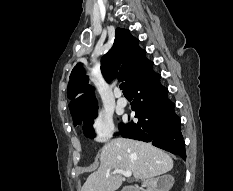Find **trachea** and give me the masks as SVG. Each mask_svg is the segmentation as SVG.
<instances>
[{
  "label": "trachea",
  "instance_id": "obj_1",
  "mask_svg": "<svg viewBox=\"0 0 233 191\" xmlns=\"http://www.w3.org/2000/svg\"><path fill=\"white\" fill-rule=\"evenodd\" d=\"M120 89L123 90V93H124V94H125V93H129V91H128V89H127L125 83H121V84H120Z\"/></svg>",
  "mask_w": 233,
  "mask_h": 191
}]
</instances>
